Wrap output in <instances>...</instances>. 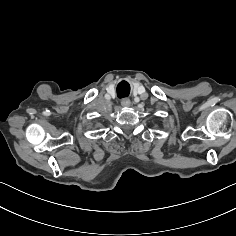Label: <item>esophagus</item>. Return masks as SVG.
Listing matches in <instances>:
<instances>
[{
    "mask_svg": "<svg viewBox=\"0 0 236 236\" xmlns=\"http://www.w3.org/2000/svg\"><path fill=\"white\" fill-rule=\"evenodd\" d=\"M121 105H122L123 107H129V106L131 105L130 99H127V98L123 99V100L121 101Z\"/></svg>",
    "mask_w": 236,
    "mask_h": 236,
    "instance_id": "obj_1",
    "label": "esophagus"
}]
</instances>
